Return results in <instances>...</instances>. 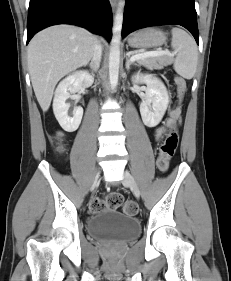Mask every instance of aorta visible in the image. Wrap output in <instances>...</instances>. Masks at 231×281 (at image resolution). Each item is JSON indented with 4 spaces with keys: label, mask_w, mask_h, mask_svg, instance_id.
<instances>
[{
    "label": "aorta",
    "mask_w": 231,
    "mask_h": 281,
    "mask_svg": "<svg viewBox=\"0 0 231 281\" xmlns=\"http://www.w3.org/2000/svg\"><path fill=\"white\" fill-rule=\"evenodd\" d=\"M124 1H120L112 30V40L109 53V81L112 89L118 84L120 64V41L123 22Z\"/></svg>",
    "instance_id": "obj_1"
}]
</instances>
